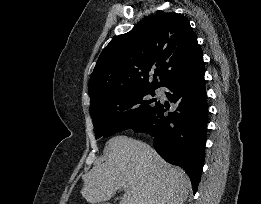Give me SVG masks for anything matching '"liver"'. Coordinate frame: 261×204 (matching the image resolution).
I'll return each mask as SVG.
<instances>
[{
	"instance_id": "obj_1",
	"label": "liver",
	"mask_w": 261,
	"mask_h": 204,
	"mask_svg": "<svg viewBox=\"0 0 261 204\" xmlns=\"http://www.w3.org/2000/svg\"><path fill=\"white\" fill-rule=\"evenodd\" d=\"M104 162L83 176L82 196L89 203L107 201L128 186L119 204H183L191 183L179 167L163 160L148 144L124 135L107 141Z\"/></svg>"
}]
</instances>
